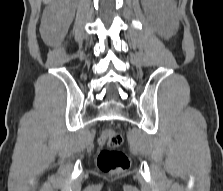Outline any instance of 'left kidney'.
<instances>
[{
	"label": "left kidney",
	"instance_id": "5707ae66",
	"mask_svg": "<svg viewBox=\"0 0 223 191\" xmlns=\"http://www.w3.org/2000/svg\"><path fill=\"white\" fill-rule=\"evenodd\" d=\"M142 5L159 34L168 38L176 32L178 18L172 0H142Z\"/></svg>",
	"mask_w": 223,
	"mask_h": 191
}]
</instances>
